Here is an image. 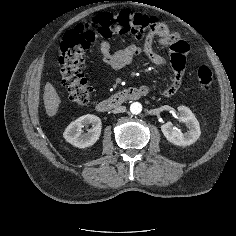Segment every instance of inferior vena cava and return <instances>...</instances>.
<instances>
[{
    "instance_id": "inferior-vena-cava-1",
    "label": "inferior vena cava",
    "mask_w": 236,
    "mask_h": 236,
    "mask_svg": "<svg viewBox=\"0 0 236 236\" xmlns=\"http://www.w3.org/2000/svg\"><path fill=\"white\" fill-rule=\"evenodd\" d=\"M112 112L114 114L126 112V107L125 106L116 107L114 110H112Z\"/></svg>"
}]
</instances>
